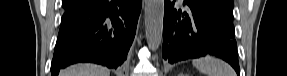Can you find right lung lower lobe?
<instances>
[{"mask_svg": "<svg viewBox=\"0 0 287 76\" xmlns=\"http://www.w3.org/2000/svg\"><path fill=\"white\" fill-rule=\"evenodd\" d=\"M141 0H84L64 13L56 42L52 76L77 62L117 68L135 36Z\"/></svg>", "mask_w": 287, "mask_h": 76, "instance_id": "1", "label": "right lung lower lobe"}]
</instances>
